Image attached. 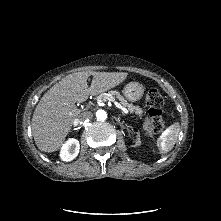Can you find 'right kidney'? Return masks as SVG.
<instances>
[{
    "mask_svg": "<svg viewBox=\"0 0 221 221\" xmlns=\"http://www.w3.org/2000/svg\"><path fill=\"white\" fill-rule=\"evenodd\" d=\"M80 145L77 139H69L65 144H63L60 152V158L63 161H72L77 157L79 153Z\"/></svg>",
    "mask_w": 221,
    "mask_h": 221,
    "instance_id": "obj_1",
    "label": "right kidney"
}]
</instances>
